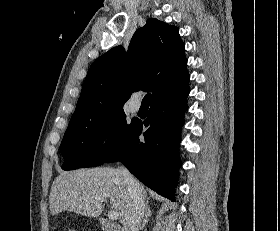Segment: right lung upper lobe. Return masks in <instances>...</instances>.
Returning a JSON list of instances; mask_svg holds the SVG:
<instances>
[{"label": "right lung upper lobe", "mask_w": 280, "mask_h": 231, "mask_svg": "<svg viewBox=\"0 0 280 231\" xmlns=\"http://www.w3.org/2000/svg\"><path fill=\"white\" fill-rule=\"evenodd\" d=\"M185 44L175 26L155 18L133 35L127 51L117 46L91 65L70 122L123 111L133 92H153L151 102L188 85Z\"/></svg>", "instance_id": "right-lung-upper-lobe-1"}]
</instances>
